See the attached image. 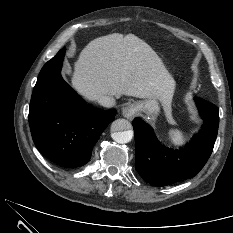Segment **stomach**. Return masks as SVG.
Wrapping results in <instances>:
<instances>
[{
    "mask_svg": "<svg viewBox=\"0 0 233 233\" xmlns=\"http://www.w3.org/2000/svg\"><path fill=\"white\" fill-rule=\"evenodd\" d=\"M134 110L137 113H144L150 121H155L160 113V106L156 98H150L134 103Z\"/></svg>",
    "mask_w": 233,
    "mask_h": 233,
    "instance_id": "obj_1",
    "label": "stomach"
}]
</instances>
